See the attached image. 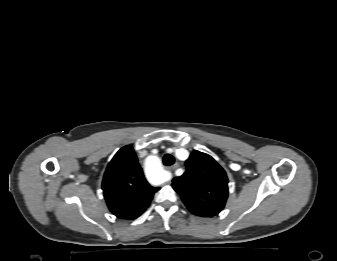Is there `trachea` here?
Returning a JSON list of instances; mask_svg holds the SVG:
<instances>
[{"label": "trachea", "instance_id": "obj_1", "mask_svg": "<svg viewBox=\"0 0 337 261\" xmlns=\"http://www.w3.org/2000/svg\"><path fill=\"white\" fill-rule=\"evenodd\" d=\"M174 162H175V158L172 155H170V154H166L163 157V163L166 166H170V165L174 164Z\"/></svg>", "mask_w": 337, "mask_h": 261}]
</instances>
